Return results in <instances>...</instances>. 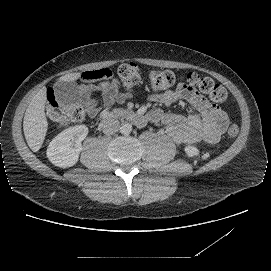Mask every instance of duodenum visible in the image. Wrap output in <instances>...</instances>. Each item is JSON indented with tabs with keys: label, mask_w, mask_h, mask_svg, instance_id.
Wrapping results in <instances>:
<instances>
[{
	"label": "duodenum",
	"mask_w": 271,
	"mask_h": 271,
	"mask_svg": "<svg viewBox=\"0 0 271 271\" xmlns=\"http://www.w3.org/2000/svg\"><path fill=\"white\" fill-rule=\"evenodd\" d=\"M118 119H127L137 125H143L145 118L139 113L128 109H117L105 114L100 121V128L105 133L113 131Z\"/></svg>",
	"instance_id": "1"
}]
</instances>
